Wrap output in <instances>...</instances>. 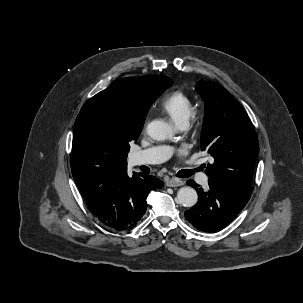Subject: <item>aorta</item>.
I'll return each mask as SVG.
<instances>
[{"instance_id":"obj_1","label":"aorta","mask_w":303,"mask_h":303,"mask_svg":"<svg viewBox=\"0 0 303 303\" xmlns=\"http://www.w3.org/2000/svg\"><path fill=\"white\" fill-rule=\"evenodd\" d=\"M148 135L157 141H163L173 136L172 127L161 120H154L147 126ZM198 201V195L192 187H181L177 192V202L185 207H193Z\"/></svg>"}]
</instances>
